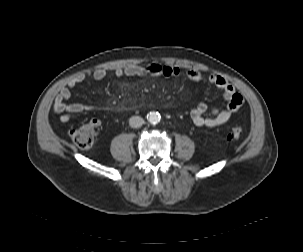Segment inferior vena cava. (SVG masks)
<instances>
[{
	"label": "inferior vena cava",
	"mask_w": 303,
	"mask_h": 252,
	"mask_svg": "<svg viewBox=\"0 0 303 252\" xmlns=\"http://www.w3.org/2000/svg\"><path fill=\"white\" fill-rule=\"evenodd\" d=\"M144 123V120L142 117L140 116H132L130 119H129V125L132 127V128H139L143 125Z\"/></svg>",
	"instance_id": "1"
}]
</instances>
